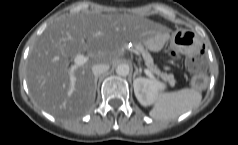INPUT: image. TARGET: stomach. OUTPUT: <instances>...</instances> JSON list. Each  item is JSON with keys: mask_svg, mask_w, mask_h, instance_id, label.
<instances>
[{"mask_svg": "<svg viewBox=\"0 0 238 145\" xmlns=\"http://www.w3.org/2000/svg\"><path fill=\"white\" fill-rule=\"evenodd\" d=\"M201 45L200 36L188 29H179L171 39L172 48L183 55H190Z\"/></svg>", "mask_w": 238, "mask_h": 145, "instance_id": "0dacf381", "label": "stomach"}]
</instances>
